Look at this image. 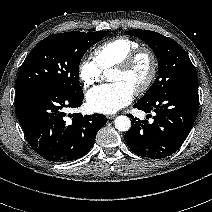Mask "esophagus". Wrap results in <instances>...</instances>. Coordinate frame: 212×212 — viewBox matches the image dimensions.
<instances>
[{
	"label": "esophagus",
	"instance_id": "esophagus-1",
	"mask_svg": "<svg viewBox=\"0 0 212 212\" xmlns=\"http://www.w3.org/2000/svg\"><path fill=\"white\" fill-rule=\"evenodd\" d=\"M115 117H116V115H108L107 116V118L110 119V120L114 119Z\"/></svg>",
	"mask_w": 212,
	"mask_h": 212
}]
</instances>
